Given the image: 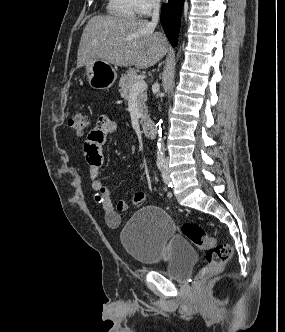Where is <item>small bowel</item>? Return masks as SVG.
<instances>
[{"label": "small bowel", "mask_w": 285, "mask_h": 332, "mask_svg": "<svg viewBox=\"0 0 285 332\" xmlns=\"http://www.w3.org/2000/svg\"><path fill=\"white\" fill-rule=\"evenodd\" d=\"M116 129L117 122L114 119L106 115H101L83 145L85 157L89 165V176L95 201L102 206L105 221L111 228L119 226L121 221L120 212L127 211L130 204H140L147 197L146 193L139 192L135 195L131 203L125 200H119L114 203L107 187L99 179L104 161L103 146Z\"/></svg>", "instance_id": "obj_1"}]
</instances>
